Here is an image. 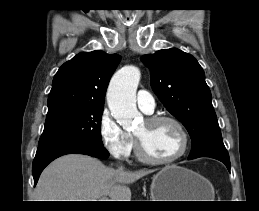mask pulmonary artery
Masks as SVG:
<instances>
[{"label": "pulmonary artery", "mask_w": 259, "mask_h": 211, "mask_svg": "<svg viewBox=\"0 0 259 211\" xmlns=\"http://www.w3.org/2000/svg\"><path fill=\"white\" fill-rule=\"evenodd\" d=\"M138 107L146 114L153 113L155 109L154 97L146 90H139L137 93Z\"/></svg>", "instance_id": "obj_1"}]
</instances>
